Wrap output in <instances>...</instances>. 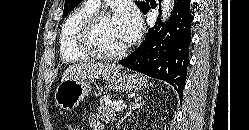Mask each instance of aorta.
<instances>
[{"mask_svg": "<svg viewBox=\"0 0 249 130\" xmlns=\"http://www.w3.org/2000/svg\"><path fill=\"white\" fill-rule=\"evenodd\" d=\"M174 6L173 0H163L161 3V20L165 23V21L171 15L172 8Z\"/></svg>", "mask_w": 249, "mask_h": 130, "instance_id": "1", "label": "aorta"}]
</instances>
